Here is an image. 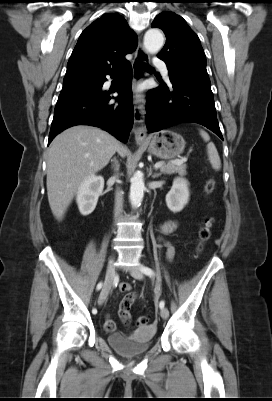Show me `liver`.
<instances>
[{"mask_svg":"<svg viewBox=\"0 0 272 401\" xmlns=\"http://www.w3.org/2000/svg\"><path fill=\"white\" fill-rule=\"evenodd\" d=\"M118 152L127 149L108 132L86 125L66 129L48 150L47 194L51 211L61 220L82 181L103 169Z\"/></svg>","mask_w":272,"mask_h":401,"instance_id":"6515ba94","label":"liver"}]
</instances>
